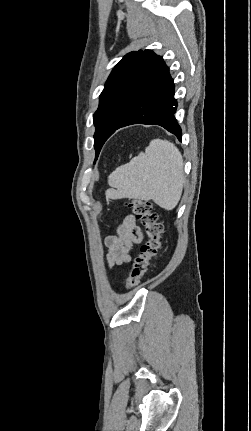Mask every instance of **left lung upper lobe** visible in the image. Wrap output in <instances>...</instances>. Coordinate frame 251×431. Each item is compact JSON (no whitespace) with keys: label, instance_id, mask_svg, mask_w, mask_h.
<instances>
[{"label":"left lung upper lobe","instance_id":"1","mask_svg":"<svg viewBox=\"0 0 251 431\" xmlns=\"http://www.w3.org/2000/svg\"><path fill=\"white\" fill-rule=\"evenodd\" d=\"M159 59L151 50L132 51L112 70L93 115L96 159Z\"/></svg>","mask_w":251,"mask_h":431}]
</instances>
